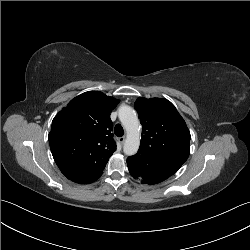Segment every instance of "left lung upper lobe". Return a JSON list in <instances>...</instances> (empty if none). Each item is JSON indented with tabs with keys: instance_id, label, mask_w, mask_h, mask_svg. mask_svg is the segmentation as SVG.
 Here are the masks:
<instances>
[{
	"instance_id": "obj_1",
	"label": "left lung upper lobe",
	"mask_w": 250,
	"mask_h": 250,
	"mask_svg": "<svg viewBox=\"0 0 250 250\" xmlns=\"http://www.w3.org/2000/svg\"><path fill=\"white\" fill-rule=\"evenodd\" d=\"M142 125L139 154L154 164L177 171L190 154V132L175 106L167 99L135 101Z\"/></svg>"
}]
</instances>
